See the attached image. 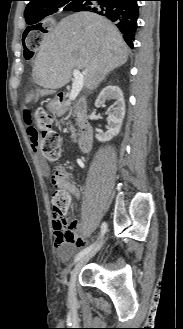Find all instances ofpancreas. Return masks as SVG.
<instances>
[{
	"label": "pancreas",
	"instance_id": "obj_1",
	"mask_svg": "<svg viewBox=\"0 0 183 329\" xmlns=\"http://www.w3.org/2000/svg\"><path fill=\"white\" fill-rule=\"evenodd\" d=\"M66 111H68V116L64 117L62 119V122L64 120H68L70 116H73L75 118V120L77 121V113L76 112H72L71 110H69L68 106L66 104H61V111L58 113L59 115H63ZM66 125L69 126V130L71 131L72 133V136L74 137L75 136V131L76 129L74 128V126L72 125V123L70 121H68L66 123Z\"/></svg>",
	"mask_w": 183,
	"mask_h": 329
}]
</instances>
